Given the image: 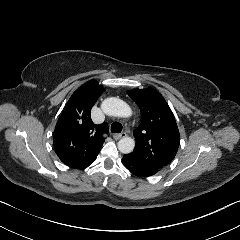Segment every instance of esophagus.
Instances as JSON below:
<instances>
[{"label":"esophagus","instance_id":"esophagus-1","mask_svg":"<svg viewBox=\"0 0 240 240\" xmlns=\"http://www.w3.org/2000/svg\"><path fill=\"white\" fill-rule=\"evenodd\" d=\"M126 135H127L126 133H114V134H113V138H114L115 140H119V139L125 137Z\"/></svg>","mask_w":240,"mask_h":240}]
</instances>
